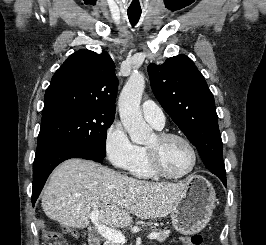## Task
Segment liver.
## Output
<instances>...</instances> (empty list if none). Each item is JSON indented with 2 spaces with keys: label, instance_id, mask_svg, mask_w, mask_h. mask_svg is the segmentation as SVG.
Here are the masks:
<instances>
[{
  "label": "liver",
  "instance_id": "6515ba94",
  "mask_svg": "<svg viewBox=\"0 0 266 245\" xmlns=\"http://www.w3.org/2000/svg\"><path fill=\"white\" fill-rule=\"evenodd\" d=\"M187 187L184 183H148L124 177L93 161L69 159L54 169L41 201L52 221L63 227L85 229L91 211L110 229H125L138 219L169 215Z\"/></svg>",
  "mask_w": 266,
  "mask_h": 245
}]
</instances>
